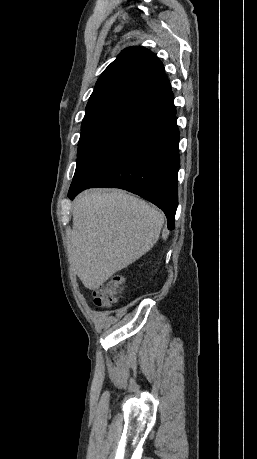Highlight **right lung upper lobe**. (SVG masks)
Here are the masks:
<instances>
[{
	"instance_id": "right-lung-upper-lobe-1",
	"label": "right lung upper lobe",
	"mask_w": 257,
	"mask_h": 459,
	"mask_svg": "<svg viewBox=\"0 0 257 459\" xmlns=\"http://www.w3.org/2000/svg\"><path fill=\"white\" fill-rule=\"evenodd\" d=\"M171 92L161 61L144 47H128L96 82L86 114L108 108L138 112Z\"/></svg>"
}]
</instances>
